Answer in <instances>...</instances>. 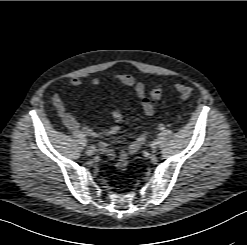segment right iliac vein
<instances>
[{"label":"right iliac vein","instance_id":"right-iliac-vein-1","mask_svg":"<svg viewBox=\"0 0 247 245\" xmlns=\"http://www.w3.org/2000/svg\"><path fill=\"white\" fill-rule=\"evenodd\" d=\"M94 152H95V150H93V149H91V148H87V154L88 155H93L94 154Z\"/></svg>","mask_w":247,"mask_h":245}]
</instances>
